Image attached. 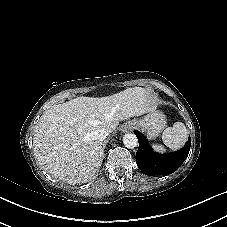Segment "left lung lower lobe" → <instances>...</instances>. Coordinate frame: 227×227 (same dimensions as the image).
I'll return each mask as SVG.
<instances>
[{
  "instance_id": "obj_1",
  "label": "left lung lower lobe",
  "mask_w": 227,
  "mask_h": 227,
  "mask_svg": "<svg viewBox=\"0 0 227 227\" xmlns=\"http://www.w3.org/2000/svg\"><path fill=\"white\" fill-rule=\"evenodd\" d=\"M139 141V149L136 153L137 166L146 175H167L175 172L185 161L189 154L191 139L189 137L185 146L169 154H157L152 151L143 134L135 131Z\"/></svg>"
}]
</instances>
